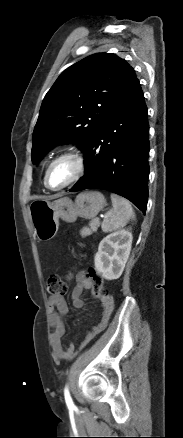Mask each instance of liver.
Instances as JSON below:
<instances>
[{
    "mask_svg": "<svg viewBox=\"0 0 183 438\" xmlns=\"http://www.w3.org/2000/svg\"><path fill=\"white\" fill-rule=\"evenodd\" d=\"M61 195L60 194H57V195H54V196H51L50 198H57V197H60ZM44 198V197H43Z\"/></svg>",
    "mask_w": 183,
    "mask_h": 438,
    "instance_id": "6515ba94",
    "label": "liver"
}]
</instances>
